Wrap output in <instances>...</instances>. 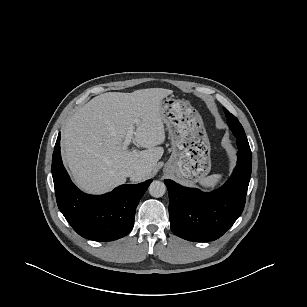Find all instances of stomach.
<instances>
[{
  "instance_id": "0dacf381",
  "label": "stomach",
  "mask_w": 307,
  "mask_h": 307,
  "mask_svg": "<svg viewBox=\"0 0 307 307\" xmlns=\"http://www.w3.org/2000/svg\"><path fill=\"white\" fill-rule=\"evenodd\" d=\"M161 115L172 145L164 173L185 185L201 182L211 170V146L200 114L189 102L170 97L162 101Z\"/></svg>"
}]
</instances>
